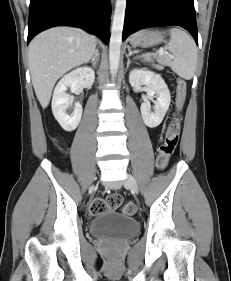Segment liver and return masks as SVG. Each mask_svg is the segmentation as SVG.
Instances as JSON below:
<instances>
[{
	"label": "liver",
	"instance_id": "6515ba94",
	"mask_svg": "<svg viewBox=\"0 0 231 281\" xmlns=\"http://www.w3.org/2000/svg\"><path fill=\"white\" fill-rule=\"evenodd\" d=\"M96 38L73 27H55L38 34L29 45L32 84L43 108L50 102L56 81L70 69L87 63Z\"/></svg>",
	"mask_w": 231,
	"mask_h": 281
}]
</instances>
